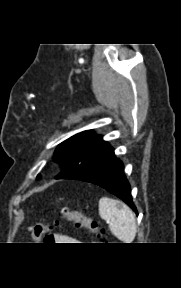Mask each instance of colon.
I'll list each match as a JSON object with an SVG mask.
<instances>
[{
    "mask_svg": "<svg viewBox=\"0 0 181 288\" xmlns=\"http://www.w3.org/2000/svg\"><path fill=\"white\" fill-rule=\"evenodd\" d=\"M61 221H67L74 224L77 228H85L90 233L96 235L98 238H102L104 230L100 227L96 220H93L86 216L81 211L71 210L69 208H63L60 212V216L48 224H35L29 228L31 238L35 242L42 240L50 241L52 234L51 230L58 226Z\"/></svg>",
    "mask_w": 181,
    "mask_h": 288,
    "instance_id": "5ec220e1",
    "label": "colon"
}]
</instances>
